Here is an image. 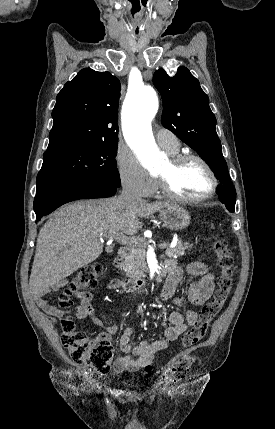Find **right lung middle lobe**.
Segmentation results:
<instances>
[{"label":"right lung middle lobe","mask_w":275,"mask_h":429,"mask_svg":"<svg viewBox=\"0 0 275 429\" xmlns=\"http://www.w3.org/2000/svg\"><path fill=\"white\" fill-rule=\"evenodd\" d=\"M118 141L91 145H66L46 151L37 175L36 194L56 186L93 181L120 187L116 167Z\"/></svg>","instance_id":"dd1d6c3e"}]
</instances>
